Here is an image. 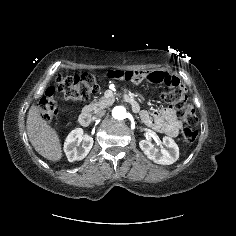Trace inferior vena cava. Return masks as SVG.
<instances>
[{"instance_id":"inferior-vena-cava-1","label":"inferior vena cava","mask_w":236,"mask_h":236,"mask_svg":"<svg viewBox=\"0 0 236 236\" xmlns=\"http://www.w3.org/2000/svg\"><path fill=\"white\" fill-rule=\"evenodd\" d=\"M103 115H104V112H103V111H102V112H99V113H97L96 115H94V116L92 117V120H93V121H96V120L100 119Z\"/></svg>"}]
</instances>
